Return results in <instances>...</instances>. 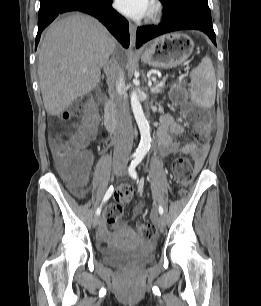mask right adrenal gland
<instances>
[{"label":"right adrenal gland","instance_id":"obj_1","mask_svg":"<svg viewBox=\"0 0 261 306\" xmlns=\"http://www.w3.org/2000/svg\"><path fill=\"white\" fill-rule=\"evenodd\" d=\"M112 70H113L112 61H109L108 63H106L103 66V72H104V75L106 76V78H108L110 76V74L112 73ZM104 75L102 76V78H104Z\"/></svg>","mask_w":261,"mask_h":306}]
</instances>
